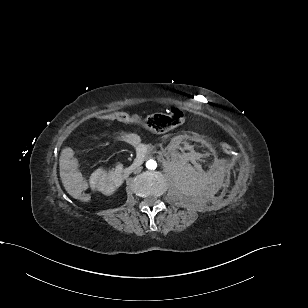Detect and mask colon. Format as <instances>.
Listing matches in <instances>:
<instances>
[{"instance_id": "5ec220e1", "label": "colon", "mask_w": 308, "mask_h": 308, "mask_svg": "<svg viewBox=\"0 0 308 308\" xmlns=\"http://www.w3.org/2000/svg\"><path fill=\"white\" fill-rule=\"evenodd\" d=\"M107 119L137 124L152 132L163 133L180 126L183 123L184 116L179 109L174 108L163 113H153L147 116L126 112H115L107 116ZM221 149L226 154L233 153V147L228 143H222ZM74 197L83 203H87L91 200V195L87 191L79 192L75 194Z\"/></svg>"}]
</instances>
